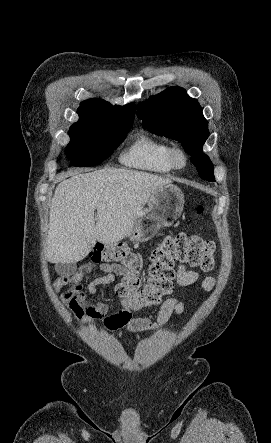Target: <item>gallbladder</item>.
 Returning <instances> with one entry per match:
<instances>
[{
	"mask_svg": "<svg viewBox=\"0 0 271 443\" xmlns=\"http://www.w3.org/2000/svg\"><path fill=\"white\" fill-rule=\"evenodd\" d=\"M78 268L77 260H64L63 263H56L55 269L59 275L66 276L71 273L73 269Z\"/></svg>",
	"mask_w": 271,
	"mask_h": 443,
	"instance_id": "gallbladder-1",
	"label": "gallbladder"
}]
</instances>
